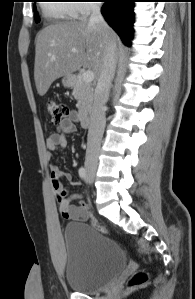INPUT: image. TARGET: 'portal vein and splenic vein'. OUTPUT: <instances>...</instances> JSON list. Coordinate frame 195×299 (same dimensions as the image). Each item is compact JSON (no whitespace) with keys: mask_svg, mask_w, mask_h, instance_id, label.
Returning a JSON list of instances; mask_svg holds the SVG:
<instances>
[{"mask_svg":"<svg viewBox=\"0 0 195 299\" xmlns=\"http://www.w3.org/2000/svg\"><path fill=\"white\" fill-rule=\"evenodd\" d=\"M72 52H76V49H72ZM82 79L86 83H91L94 80V73L91 70H87L82 74Z\"/></svg>","mask_w":195,"mask_h":299,"instance_id":"portal-vein-and-splenic-vein-1","label":"portal vein and splenic vein"}]
</instances>
